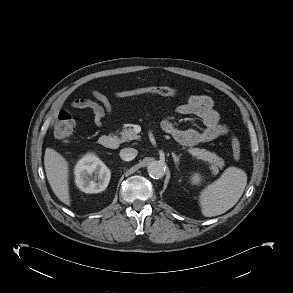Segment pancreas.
I'll return each mask as SVG.
<instances>
[{
	"label": "pancreas",
	"mask_w": 293,
	"mask_h": 293,
	"mask_svg": "<svg viewBox=\"0 0 293 293\" xmlns=\"http://www.w3.org/2000/svg\"><path fill=\"white\" fill-rule=\"evenodd\" d=\"M120 134L122 142L139 139V135H137L133 128H125L121 131ZM187 151L196 159L207 162V164L209 165V169L211 170L213 175L218 174L219 168H222L224 166V160L214 152H210L206 149L192 147H190Z\"/></svg>",
	"instance_id": "pancreas-1"
}]
</instances>
